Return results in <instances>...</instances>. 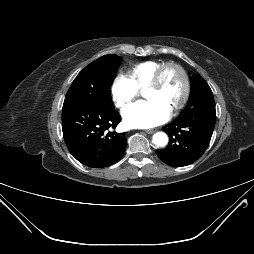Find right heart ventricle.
Masks as SVG:
<instances>
[{"mask_svg": "<svg viewBox=\"0 0 254 254\" xmlns=\"http://www.w3.org/2000/svg\"><path fill=\"white\" fill-rule=\"evenodd\" d=\"M162 64L160 61L148 60L133 65L128 71V77L143 90L148 87L156 69Z\"/></svg>", "mask_w": 254, "mask_h": 254, "instance_id": "obj_1", "label": "right heart ventricle"}]
</instances>
